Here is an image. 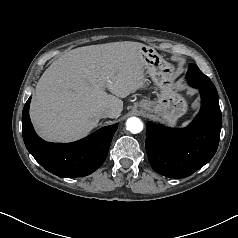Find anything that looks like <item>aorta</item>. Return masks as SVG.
Here are the masks:
<instances>
[{
    "label": "aorta",
    "instance_id": "762f6f07",
    "mask_svg": "<svg viewBox=\"0 0 238 238\" xmlns=\"http://www.w3.org/2000/svg\"><path fill=\"white\" fill-rule=\"evenodd\" d=\"M126 128L133 134L140 133L143 130V123L137 117L128 118L126 121Z\"/></svg>",
    "mask_w": 238,
    "mask_h": 238
}]
</instances>
